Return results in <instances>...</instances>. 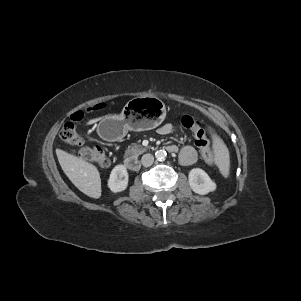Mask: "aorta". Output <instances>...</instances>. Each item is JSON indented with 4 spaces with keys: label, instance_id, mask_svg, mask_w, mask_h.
Segmentation results:
<instances>
[{
    "label": "aorta",
    "instance_id": "762f6f07",
    "mask_svg": "<svg viewBox=\"0 0 301 301\" xmlns=\"http://www.w3.org/2000/svg\"><path fill=\"white\" fill-rule=\"evenodd\" d=\"M167 153L165 150H157L155 153V157L159 161H164L166 159Z\"/></svg>",
    "mask_w": 301,
    "mask_h": 301
}]
</instances>
